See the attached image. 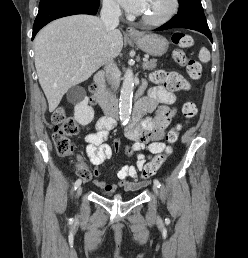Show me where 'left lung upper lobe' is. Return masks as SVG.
Here are the masks:
<instances>
[{"mask_svg":"<svg viewBox=\"0 0 248 258\" xmlns=\"http://www.w3.org/2000/svg\"><path fill=\"white\" fill-rule=\"evenodd\" d=\"M179 12L176 16H187L195 12L203 11V7L200 0H178Z\"/></svg>","mask_w":248,"mask_h":258,"instance_id":"5c2ea615","label":"left lung upper lobe"}]
</instances>
